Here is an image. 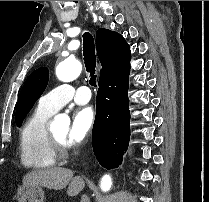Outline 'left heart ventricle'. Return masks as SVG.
Returning <instances> with one entry per match:
<instances>
[{"label": "left heart ventricle", "instance_id": "1", "mask_svg": "<svg viewBox=\"0 0 209 202\" xmlns=\"http://www.w3.org/2000/svg\"><path fill=\"white\" fill-rule=\"evenodd\" d=\"M53 135L56 136L57 138L66 141V137H67V127L61 128V129H57L55 131H53Z\"/></svg>", "mask_w": 209, "mask_h": 202}]
</instances>
